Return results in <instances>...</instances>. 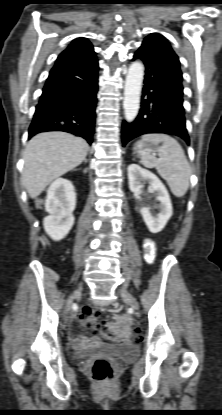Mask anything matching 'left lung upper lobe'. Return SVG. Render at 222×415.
<instances>
[{"mask_svg": "<svg viewBox=\"0 0 222 415\" xmlns=\"http://www.w3.org/2000/svg\"><path fill=\"white\" fill-rule=\"evenodd\" d=\"M148 37H159V38L165 39L162 35H160V34H158V33H152V34H150ZM165 40H166V39H165Z\"/></svg>", "mask_w": 222, "mask_h": 415, "instance_id": "1", "label": "left lung upper lobe"}]
</instances>
